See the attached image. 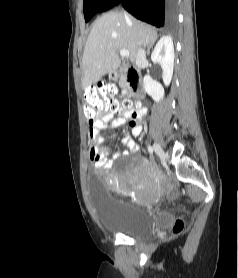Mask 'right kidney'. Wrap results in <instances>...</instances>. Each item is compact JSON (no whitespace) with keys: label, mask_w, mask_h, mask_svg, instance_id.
I'll use <instances>...</instances> for the list:
<instances>
[{"label":"right kidney","mask_w":238,"mask_h":278,"mask_svg":"<svg viewBox=\"0 0 238 278\" xmlns=\"http://www.w3.org/2000/svg\"><path fill=\"white\" fill-rule=\"evenodd\" d=\"M151 60L155 64H160L163 70V82L168 86L171 82L174 67V46L170 36L162 37L156 44ZM145 91L159 102L164 97V88L162 85L153 80L150 76L144 78Z\"/></svg>","instance_id":"ca27d5eb"}]
</instances>
